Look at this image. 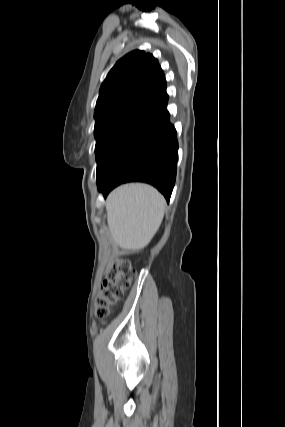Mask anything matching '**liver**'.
Here are the masks:
<instances>
[{
    "mask_svg": "<svg viewBox=\"0 0 285 427\" xmlns=\"http://www.w3.org/2000/svg\"><path fill=\"white\" fill-rule=\"evenodd\" d=\"M164 197L147 184H126L106 200L107 222L114 242L125 250L146 247L158 231L165 212Z\"/></svg>",
    "mask_w": 285,
    "mask_h": 427,
    "instance_id": "liver-1",
    "label": "liver"
}]
</instances>
